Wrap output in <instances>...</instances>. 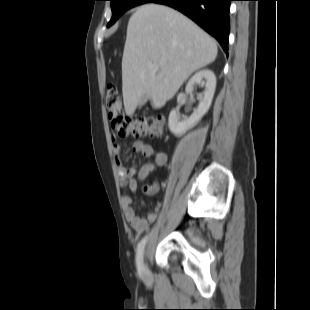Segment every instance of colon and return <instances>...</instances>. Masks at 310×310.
Wrapping results in <instances>:
<instances>
[{
    "mask_svg": "<svg viewBox=\"0 0 310 310\" xmlns=\"http://www.w3.org/2000/svg\"><path fill=\"white\" fill-rule=\"evenodd\" d=\"M106 107L113 129L120 135L158 136L165 126L164 118L157 114L131 116L124 111L116 84L109 83L106 88Z\"/></svg>",
    "mask_w": 310,
    "mask_h": 310,
    "instance_id": "5ec220e1",
    "label": "colon"
}]
</instances>
